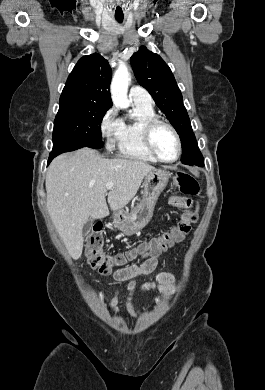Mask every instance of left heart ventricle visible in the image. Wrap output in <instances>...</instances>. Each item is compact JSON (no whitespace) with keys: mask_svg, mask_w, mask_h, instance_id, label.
<instances>
[{"mask_svg":"<svg viewBox=\"0 0 265 390\" xmlns=\"http://www.w3.org/2000/svg\"><path fill=\"white\" fill-rule=\"evenodd\" d=\"M153 143L157 152L166 160L174 159L177 143L172 132L165 126H159L153 134Z\"/></svg>","mask_w":265,"mask_h":390,"instance_id":"1","label":"left heart ventricle"}]
</instances>
